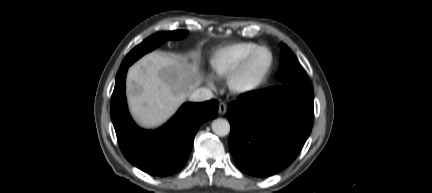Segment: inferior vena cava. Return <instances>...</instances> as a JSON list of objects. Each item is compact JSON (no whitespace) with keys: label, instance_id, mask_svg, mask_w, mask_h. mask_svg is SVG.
Segmentation results:
<instances>
[{"label":"inferior vena cava","instance_id":"obj_1","mask_svg":"<svg viewBox=\"0 0 432 193\" xmlns=\"http://www.w3.org/2000/svg\"><path fill=\"white\" fill-rule=\"evenodd\" d=\"M213 93L208 88H198L191 93L189 99L195 102H202L213 98Z\"/></svg>","mask_w":432,"mask_h":193}]
</instances>
